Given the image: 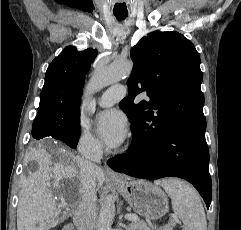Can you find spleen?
<instances>
[{
	"instance_id": "obj_1",
	"label": "spleen",
	"mask_w": 241,
	"mask_h": 230,
	"mask_svg": "<svg viewBox=\"0 0 241 230\" xmlns=\"http://www.w3.org/2000/svg\"><path fill=\"white\" fill-rule=\"evenodd\" d=\"M171 198L172 208L184 223L183 230H207L204 208L197 191L188 183L178 179L156 182Z\"/></svg>"
}]
</instances>
